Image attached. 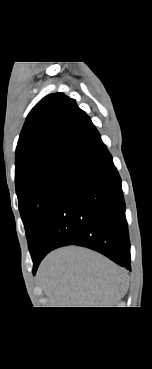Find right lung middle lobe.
I'll return each mask as SVG.
<instances>
[{"label": "right lung middle lobe", "instance_id": "right-lung-middle-lobe-1", "mask_svg": "<svg viewBox=\"0 0 152 369\" xmlns=\"http://www.w3.org/2000/svg\"><path fill=\"white\" fill-rule=\"evenodd\" d=\"M74 162L59 161L28 172L16 182L19 210L32 254Z\"/></svg>", "mask_w": 152, "mask_h": 369}]
</instances>
